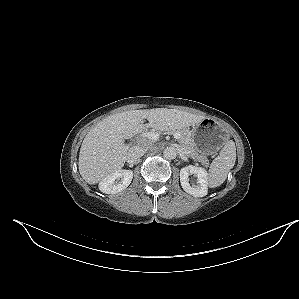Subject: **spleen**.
Segmentation results:
<instances>
[{"instance_id": "3e777b00", "label": "spleen", "mask_w": 299, "mask_h": 299, "mask_svg": "<svg viewBox=\"0 0 299 299\" xmlns=\"http://www.w3.org/2000/svg\"><path fill=\"white\" fill-rule=\"evenodd\" d=\"M236 161V147L234 141H228L219 155L213 160L209 168L208 185L215 188L223 184L228 172L234 167Z\"/></svg>"}]
</instances>
